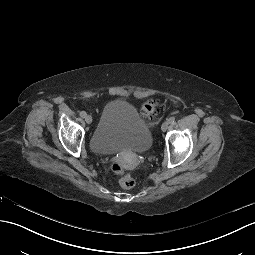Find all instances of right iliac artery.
I'll return each instance as SVG.
<instances>
[{
	"label": "right iliac artery",
	"instance_id": "1",
	"mask_svg": "<svg viewBox=\"0 0 255 255\" xmlns=\"http://www.w3.org/2000/svg\"><path fill=\"white\" fill-rule=\"evenodd\" d=\"M80 116L84 118L86 116V112L85 111H81L80 112Z\"/></svg>",
	"mask_w": 255,
	"mask_h": 255
}]
</instances>
